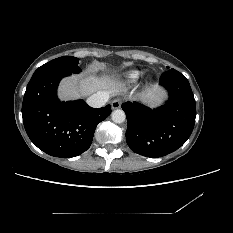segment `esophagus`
<instances>
[{
	"instance_id": "obj_1",
	"label": "esophagus",
	"mask_w": 233,
	"mask_h": 233,
	"mask_svg": "<svg viewBox=\"0 0 233 233\" xmlns=\"http://www.w3.org/2000/svg\"><path fill=\"white\" fill-rule=\"evenodd\" d=\"M112 109H118L121 107V100L120 99H114L111 103Z\"/></svg>"
}]
</instances>
